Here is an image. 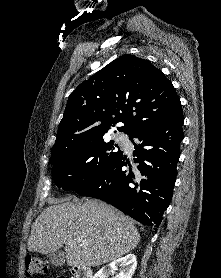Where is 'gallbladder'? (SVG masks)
Here are the masks:
<instances>
[{
	"mask_svg": "<svg viewBox=\"0 0 221 278\" xmlns=\"http://www.w3.org/2000/svg\"><path fill=\"white\" fill-rule=\"evenodd\" d=\"M47 258L54 266H62L65 263V253L62 250L49 253Z\"/></svg>",
	"mask_w": 221,
	"mask_h": 278,
	"instance_id": "bac80fb5",
	"label": "gallbladder"
}]
</instances>
